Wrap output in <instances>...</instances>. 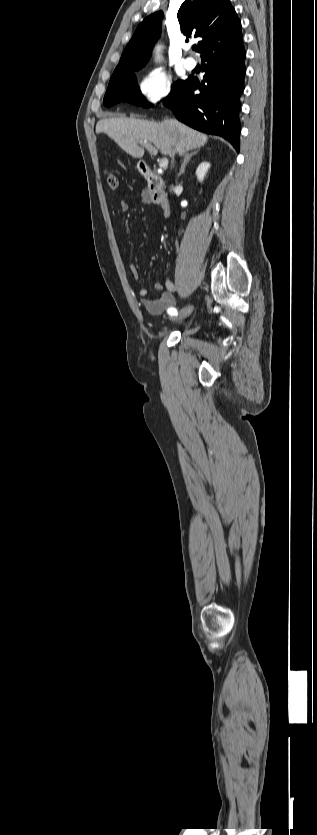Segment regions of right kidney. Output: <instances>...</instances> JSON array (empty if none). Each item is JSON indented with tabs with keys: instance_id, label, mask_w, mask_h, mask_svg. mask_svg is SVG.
Listing matches in <instances>:
<instances>
[{
	"instance_id": "1",
	"label": "right kidney",
	"mask_w": 317,
	"mask_h": 835,
	"mask_svg": "<svg viewBox=\"0 0 317 835\" xmlns=\"http://www.w3.org/2000/svg\"><path fill=\"white\" fill-rule=\"evenodd\" d=\"M209 168H210V163L209 162H202L201 164H199V166L196 170V176H197V179L200 182H202L204 180V177H205Z\"/></svg>"
}]
</instances>
